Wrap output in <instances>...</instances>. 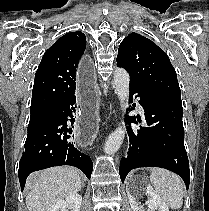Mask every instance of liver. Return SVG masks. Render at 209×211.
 Returning <instances> with one entry per match:
<instances>
[{
    "mask_svg": "<svg viewBox=\"0 0 209 211\" xmlns=\"http://www.w3.org/2000/svg\"><path fill=\"white\" fill-rule=\"evenodd\" d=\"M26 186L28 211H48L64 197L80 191L82 181L77 169L57 166L30 174Z\"/></svg>",
    "mask_w": 209,
    "mask_h": 211,
    "instance_id": "obj_1",
    "label": "liver"
}]
</instances>
